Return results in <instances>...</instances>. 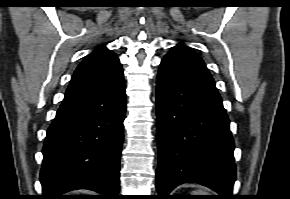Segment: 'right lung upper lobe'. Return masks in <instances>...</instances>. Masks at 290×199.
I'll return each instance as SVG.
<instances>
[{"label":"right lung upper lobe","mask_w":290,"mask_h":199,"mask_svg":"<svg viewBox=\"0 0 290 199\" xmlns=\"http://www.w3.org/2000/svg\"><path fill=\"white\" fill-rule=\"evenodd\" d=\"M124 80L123 70L114 52L100 46L75 70L63 101L85 98L108 90Z\"/></svg>","instance_id":"cb5924a9"}]
</instances>
